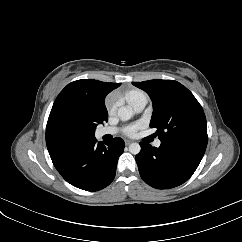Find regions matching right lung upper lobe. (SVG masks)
<instances>
[{
	"instance_id": "obj_1",
	"label": "right lung upper lobe",
	"mask_w": 242,
	"mask_h": 242,
	"mask_svg": "<svg viewBox=\"0 0 242 242\" xmlns=\"http://www.w3.org/2000/svg\"><path fill=\"white\" fill-rule=\"evenodd\" d=\"M120 83L83 79L71 82L57 96L46 126L51 156L84 140L95 138L98 124L108 121L104 101Z\"/></svg>"
}]
</instances>
